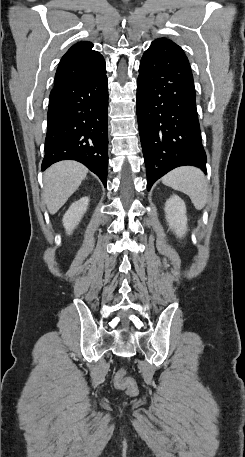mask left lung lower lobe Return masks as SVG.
<instances>
[{
  "instance_id": "left-lung-lower-lobe-1",
  "label": "left lung lower lobe",
  "mask_w": 245,
  "mask_h": 457,
  "mask_svg": "<svg viewBox=\"0 0 245 457\" xmlns=\"http://www.w3.org/2000/svg\"><path fill=\"white\" fill-rule=\"evenodd\" d=\"M137 119L148 191L179 166L206 173L193 75L185 53L170 40L152 44L140 61Z\"/></svg>"
}]
</instances>
